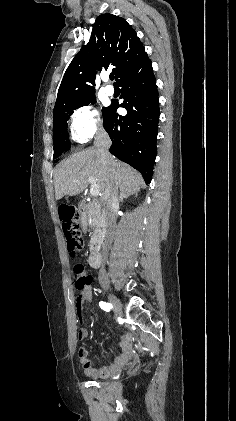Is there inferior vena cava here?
<instances>
[{
    "label": "inferior vena cava",
    "mask_w": 236,
    "mask_h": 421,
    "mask_svg": "<svg viewBox=\"0 0 236 421\" xmlns=\"http://www.w3.org/2000/svg\"><path fill=\"white\" fill-rule=\"evenodd\" d=\"M112 144V140L104 130V128H98L94 140V146H97V150L100 152V158L103 162V164H109V158H112L109 148ZM115 168H111V174L112 176H115ZM121 196V192H120ZM118 194V188H114L113 184H108L105 188V194H104V200L106 202L105 211H104V219H105V241L103 245V251H102V261L103 263H106V251L109 249L111 245V241L113 239V229L115 227V213L118 211L119 208V198ZM103 269H101L102 273Z\"/></svg>",
    "instance_id": "obj_1"
}]
</instances>
